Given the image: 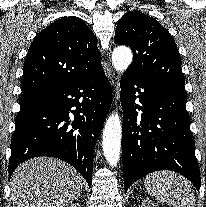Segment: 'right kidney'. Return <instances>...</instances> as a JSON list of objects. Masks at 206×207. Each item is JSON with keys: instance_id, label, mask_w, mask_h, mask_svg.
Returning a JSON list of instances; mask_svg holds the SVG:
<instances>
[{"instance_id": "obj_1", "label": "right kidney", "mask_w": 206, "mask_h": 207, "mask_svg": "<svg viewBox=\"0 0 206 207\" xmlns=\"http://www.w3.org/2000/svg\"><path fill=\"white\" fill-rule=\"evenodd\" d=\"M68 207H81L79 203L70 204Z\"/></svg>"}]
</instances>
